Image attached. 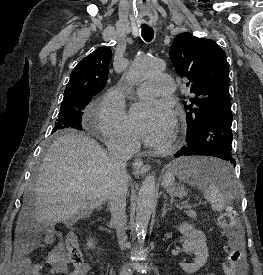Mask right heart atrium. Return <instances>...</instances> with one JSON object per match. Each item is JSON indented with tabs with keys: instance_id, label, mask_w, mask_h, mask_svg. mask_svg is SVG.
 Instances as JSON below:
<instances>
[{
	"instance_id": "d8ad5b80",
	"label": "right heart atrium",
	"mask_w": 263,
	"mask_h": 275,
	"mask_svg": "<svg viewBox=\"0 0 263 275\" xmlns=\"http://www.w3.org/2000/svg\"><path fill=\"white\" fill-rule=\"evenodd\" d=\"M95 131L107 143L131 148L136 139L130 131L126 116L111 93L105 94L95 110Z\"/></svg>"
}]
</instances>
